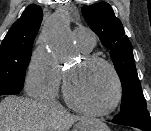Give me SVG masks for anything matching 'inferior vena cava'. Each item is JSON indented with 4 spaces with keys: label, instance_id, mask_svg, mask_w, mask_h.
Returning <instances> with one entry per match:
<instances>
[{
    "label": "inferior vena cava",
    "instance_id": "1",
    "mask_svg": "<svg viewBox=\"0 0 151 131\" xmlns=\"http://www.w3.org/2000/svg\"><path fill=\"white\" fill-rule=\"evenodd\" d=\"M42 104L44 106H47V107H50V108H59L60 107V104L59 102L56 100L55 96L54 95H50L46 98H44L42 100Z\"/></svg>",
    "mask_w": 151,
    "mask_h": 131
}]
</instances>
